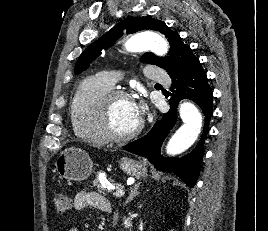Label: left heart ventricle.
<instances>
[{"instance_id": "obj_1", "label": "left heart ventricle", "mask_w": 268, "mask_h": 231, "mask_svg": "<svg viewBox=\"0 0 268 231\" xmlns=\"http://www.w3.org/2000/svg\"><path fill=\"white\" fill-rule=\"evenodd\" d=\"M113 127L120 133L134 130L140 123L135 103L131 99L117 100L111 110Z\"/></svg>"}]
</instances>
